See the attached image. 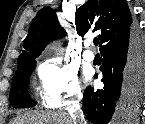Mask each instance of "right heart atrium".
Instances as JSON below:
<instances>
[{"instance_id":"obj_1","label":"right heart atrium","mask_w":145,"mask_h":124,"mask_svg":"<svg viewBox=\"0 0 145 124\" xmlns=\"http://www.w3.org/2000/svg\"><path fill=\"white\" fill-rule=\"evenodd\" d=\"M41 98L50 107L74 103L81 96V86L74 69L56 59L43 62L38 68Z\"/></svg>"}]
</instances>
